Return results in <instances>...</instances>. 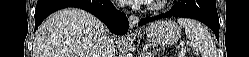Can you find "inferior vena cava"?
Returning <instances> with one entry per match:
<instances>
[{
	"mask_svg": "<svg viewBox=\"0 0 249 57\" xmlns=\"http://www.w3.org/2000/svg\"><path fill=\"white\" fill-rule=\"evenodd\" d=\"M98 56L99 57H115V46L111 38L105 35L101 38L100 53Z\"/></svg>",
	"mask_w": 249,
	"mask_h": 57,
	"instance_id": "1",
	"label": "inferior vena cava"
}]
</instances>
